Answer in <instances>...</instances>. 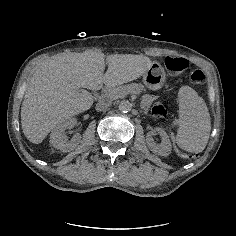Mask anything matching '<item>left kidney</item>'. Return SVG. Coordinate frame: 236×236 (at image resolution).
<instances>
[{
  "label": "left kidney",
  "instance_id": "left-kidney-1",
  "mask_svg": "<svg viewBox=\"0 0 236 236\" xmlns=\"http://www.w3.org/2000/svg\"><path fill=\"white\" fill-rule=\"evenodd\" d=\"M155 133H158L161 136L162 141L160 144L155 143L153 139ZM146 143L149 149L155 154L168 156L171 153V142L167 133L162 128L156 127L152 131L148 132Z\"/></svg>",
  "mask_w": 236,
  "mask_h": 236
}]
</instances>
